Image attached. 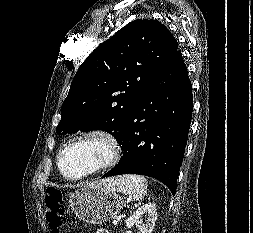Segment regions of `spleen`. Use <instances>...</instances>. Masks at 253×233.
<instances>
[{
	"mask_svg": "<svg viewBox=\"0 0 253 233\" xmlns=\"http://www.w3.org/2000/svg\"><path fill=\"white\" fill-rule=\"evenodd\" d=\"M147 179L140 175L128 174L109 178L105 187L111 191L128 194L134 200L140 201L147 192Z\"/></svg>",
	"mask_w": 253,
	"mask_h": 233,
	"instance_id": "3e777b00",
	"label": "spleen"
}]
</instances>
